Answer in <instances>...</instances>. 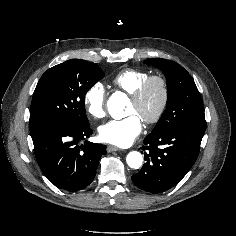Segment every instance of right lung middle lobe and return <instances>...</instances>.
I'll return each instance as SVG.
<instances>
[{
	"mask_svg": "<svg viewBox=\"0 0 236 236\" xmlns=\"http://www.w3.org/2000/svg\"><path fill=\"white\" fill-rule=\"evenodd\" d=\"M103 77L97 64L81 59H71L48 69L35 88L30 122L87 123L84 96Z\"/></svg>",
	"mask_w": 236,
	"mask_h": 236,
	"instance_id": "obj_1",
	"label": "right lung middle lobe"
}]
</instances>
